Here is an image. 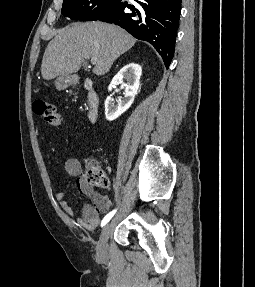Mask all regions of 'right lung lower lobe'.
<instances>
[{
    "label": "right lung lower lobe",
    "mask_w": 255,
    "mask_h": 287,
    "mask_svg": "<svg viewBox=\"0 0 255 287\" xmlns=\"http://www.w3.org/2000/svg\"><path fill=\"white\" fill-rule=\"evenodd\" d=\"M181 0L121 1L100 21L114 23L140 40L151 43L166 68L174 55Z\"/></svg>",
    "instance_id": "obj_1"
}]
</instances>
